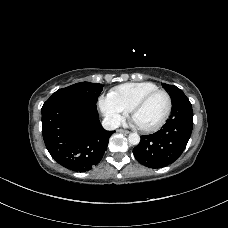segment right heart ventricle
Returning a JSON list of instances; mask_svg holds the SVG:
<instances>
[{
  "mask_svg": "<svg viewBox=\"0 0 228 228\" xmlns=\"http://www.w3.org/2000/svg\"><path fill=\"white\" fill-rule=\"evenodd\" d=\"M158 89L152 82H131L115 87L109 92V96L124 110L129 111L131 106L142 96L150 91Z\"/></svg>",
  "mask_w": 228,
  "mask_h": 228,
  "instance_id": "obj_1",
  "label": "right heart ventricle"
}]
</instances>
